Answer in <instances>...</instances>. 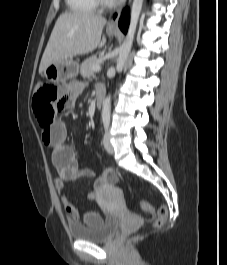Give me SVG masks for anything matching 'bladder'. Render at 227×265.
<instances>
[{"label": "bladder", "mask_w": 227, "mask_h": 265, "mask_svg": "<svg viewBox=\"0 0 227 265\" xmlns=\"http://www.w3.org/2000/svg\"><path fill=\"white\" fill-rule=\"evenodd\" d=\"M118 221L114 217L102 219L94 225L71 224L70 235L73 239L89 242H102L108 240L117 230Z\"/></svg>", "instance_id": "bladder-1"}]
</instances>
